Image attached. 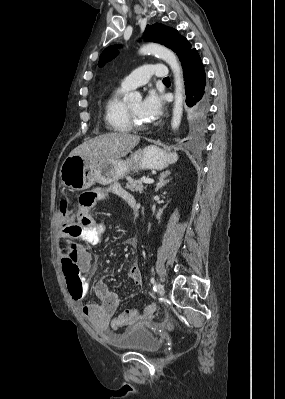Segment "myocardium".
I'll return each mask as SVG.
<instances>
[{
	"instance_id": "1",
	"label": "myocardium",
	"mask_w": 285,
	"mask_h": 399,
	"mask_svg": "<svg viewBox=\"0 0 285 399\" xmlns=\"http://www.w3.org/2000/svg\"><path fill=\"white\" fill-rule=\"evenodd\" d=\"M127 113L129 117V122L133 128L144 129L147 127L146 123H143L136 118L135 114L133 113L129 105L127 106Z\"/></svg>"
}]
</instances>
